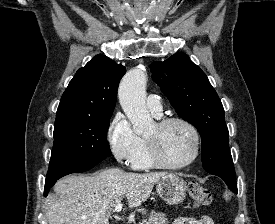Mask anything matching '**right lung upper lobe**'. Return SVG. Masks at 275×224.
<instances>
[{
	"instance_id": "right-lung-upper-lobe-1",
	"label": "right lung upper lobe",
	"mask_w": 275,
	"mask_h": 224,
	"mask_svg": "<svg viewBox=\"0 0 275 224\" xmlns=\"http://www.w3.org/2000/svg\"><path fill=\"white\" fill-rule=\"evenodd\" d=\"M126 69L105 55L80 68L62 95L56 120L112 115L117 88Z\"/></svg>"
}]
</instances>
